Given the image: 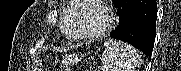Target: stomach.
I'll return each instance as SVG.
<instances>
[{
	"label": "stomach",
	"instance_id": "obj_1",
	"mask_svg": "<svg viewBox=\"0 0 181 71\" xmlns=\"http://www.w3.org/2000/svg\"><path fill=\"white\" fill-rule=\"evenodd\" d=\"M78 60H79V59H78L77 56H75V55H70V56H68V57L66 58L65 63L68 65V64L74 63V62H76V61H78Z\"/></svg>",
	"mask_w": 181,
	"mask_h": 71
}]
</instances>
